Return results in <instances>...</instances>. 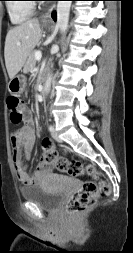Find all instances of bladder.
<instances>
[{"label":"bladder","mask_w":133,"mask_h":253,"mask_svg":"<svg viewBox=\"0 0 133 253\" xmlns=\"http://www.w3.org/2000/svg\"><path fill=\"white\" fill-rule=\"evenodd\" d=\"M20 195L23 200L34 203L40 209L47 212L55 211L63 199L62 192L53 191L38 184L20 188Z\"/></svg>","instance_id":"1"}]
</instances>
